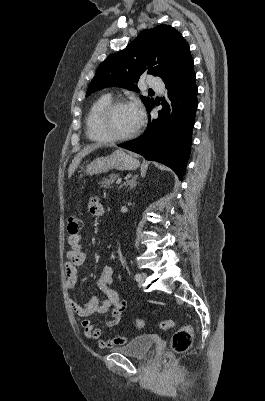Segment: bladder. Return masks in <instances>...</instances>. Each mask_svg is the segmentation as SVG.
<instances>
[{"label": "bladder", "mask_w": 265, "mask_h": 401, "mask_svg": "<svg viewBox=\"0 0 265 401\" xmlns=\"http://www.w3.org/2000/svg\"><path fill=\"white\" fill-rule=\"evenodd\" d=\"M155 345L154 338L150 336H136L124 346L111 348L112 351H120L124 355L134 357H146L152 346Z\"/></svg>", "instance_id": "obj_1"}]
</instances>
